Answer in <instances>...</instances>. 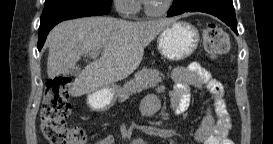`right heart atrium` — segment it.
<instances>
[{
  "instance_id": "obj_1",
  "label": "right heart atrium",
  "mask_w": 273,
  "mask_h": 144,
  "mask_svg": "<svg viewBox=\"0 0 273 144\" xmlns=\"http://www.w3.org/2000/svg\"><path fill=\"white\" fill-rule=\"evenodd\" d=\"M115 9L123 16H130L138 11L135 0H113Z\"/></svg>"
}]
</instances>
